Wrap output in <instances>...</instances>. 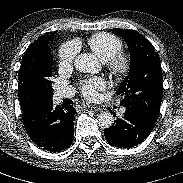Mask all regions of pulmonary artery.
<instances>
[{"label":"pulmonary artery","mask_w":183,"mask_h":183,"mask_svg":"<svg viewBox=\"0 0 183 183\" xmlns=\"http://www.w3.org/2000/svg\"><path fill=\"white\" fill-rule=\"evenodd\" d=\"M73 95V90L69 87L57 88L54 92L55 102H60L64 98H68ZM121 112H125V108H121Z\"/></svg>","instance_id":"1"}]
</instances>
